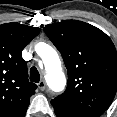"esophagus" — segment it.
Here are the masks:
<instances>
[{
    "label": "esophagus",
    "mask_w": 117,
    "mask_h": 117,
    "mask_svg": "<svg viewBox=\"0 0 117 117\" xmlns=\"http://www.w3.org/2000/svg\"><path fill=\"white\" fill-rule=\"evenodd\" d=\"M38 88L41 90V91H44L45 88H46V83L44 80H41L39 83H38Z\"/></svg>",
    "instance_id": "esophagus-1"
}]
</instances>
